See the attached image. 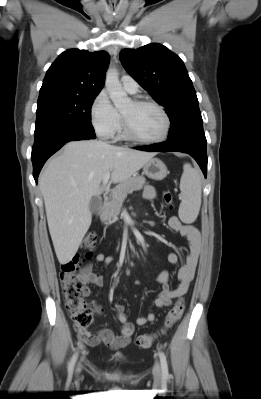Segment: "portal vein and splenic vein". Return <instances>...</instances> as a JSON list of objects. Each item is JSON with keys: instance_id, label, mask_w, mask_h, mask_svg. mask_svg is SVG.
<instances>
[{"instance_id": "obj_1", "label": "portal vein and splenic vein", "mask_w": 261, "mask_h": 399, "mask_svg": "<svg viewBox=\"0 0 261 399\" xmlns=\"http://www.w3.org/2000/svg\"><path fill=\"white\" fill-rule=\"evenodd\" d=\"M109 179H110V173H106L103 176V184L106 185L108 183Z\"/></svg>"}]
</instances>
